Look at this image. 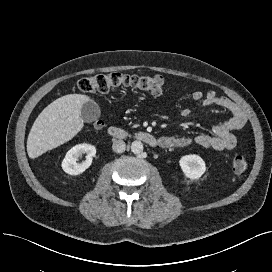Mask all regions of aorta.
<instances>
[{
    "label": "aorta",
    "instance_id": "obj_1",
    "mask_svg": "<svg viewBox=\"0 0 272 272\" xmlns=\"http://www.w3.org/2000/svg\"><path fill=\"white\" fill-rule=\"evenodd\" d=\"M131 151L134 154H140L143 151V143L141 141H134L131 144Z\"/></svg>",
    "mask_w": 272,
    "mask_h": 272
}]
</instances>
